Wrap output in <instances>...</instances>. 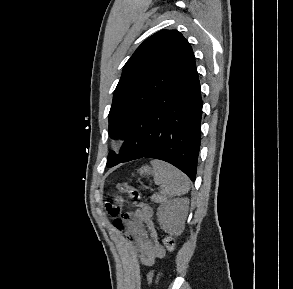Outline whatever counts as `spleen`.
<instances>
[{"instance_id": "obj_1", "label": "spleen", "mask_w": 293, "mask_h": 289, "mask_svg": "<svg viewBox=\"0 0 293 289\" xmlns=\"http://www.w3.org/2000/svg\"><path fill=\"white\" fill-rule=\"evenodd\" d=\"M151 165L153 167L154 182L156 185L163 187L161 193L164 196H181L188 192V178L180 170L160 160H153Z\"/></svg>"}]
</instances>
